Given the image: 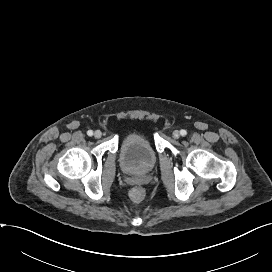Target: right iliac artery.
Segmentation results:
<instances>
[{"instance_id":"obj_1","label":"right iliac artery","mask_w":272,"mask_h":272,"mask_svg":"<svg viewBox=\"0 0 272 272\" xmlns=\"http://www.w3.org/2000/svg\"><path fill=\"white\" fill-rule=\"evenodd\" d=\"M87 134H88L89 136H92V135H93V131H92V130H88Z\"/></svg>"}]
</instances>
